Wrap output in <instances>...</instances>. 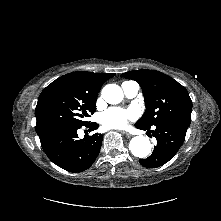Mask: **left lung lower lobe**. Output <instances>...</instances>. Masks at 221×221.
I'll use <instances>...</instances> for the list:
<instances>
[{"instance_id":"obj_1","label":"left lung lower lobe","mask_w":221,"mask_h":221,"mask_svg":"<svg viewBox=\"0 0 221 221\" xmlns=\"http://www.w3.org/2000/svg\"><path fill=\"white\" fill-rule=\"evenodd\" d=\"M135 127L148 130L157 139L153 153L146 159H139L141 165L148 168H157L171 160L182 146L188 126L181 124H161L154 130L135 124Z\"/></svg>"}]
</instances>
